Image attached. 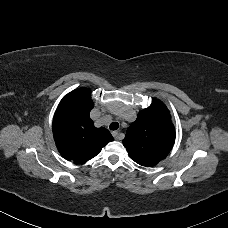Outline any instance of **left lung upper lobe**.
Segmentation results:
<instances>
[{
  "label": "left lung upper lobe",
  "mask_w": 228,
  "mask_h": 228,
  "mask_svg": "<svg viewBox=\"0 0 228 228\" xmlns=\"http://www.w3.org/2000/svg\"><path fill=\"white\" fill-rule=\"evenodd\" d=\"M174 142V125L168 109L159 100H154L148 108L139 112L123 139L130 157L146 167L166 158Z\"/></svg>",
  "instance_id": "left-lung-upper-lobe-1"
}]
</instances>
